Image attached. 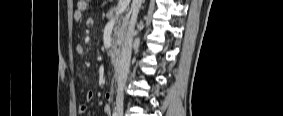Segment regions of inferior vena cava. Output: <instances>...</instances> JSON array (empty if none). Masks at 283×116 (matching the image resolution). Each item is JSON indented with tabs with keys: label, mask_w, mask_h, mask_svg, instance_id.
I'll list each match as a JSON object with an SVG mask.
<instances>
[{
	"label": "inferior vena cava",
	"mask_w": 283,
	"mask_h": 116,
	"mask_svg": "<svg viewBox=\"0 0 283 116\" xmlns=\"http://www.w3.org/2000/svg\"><path fill=\"white\" fill-rule=\"evenodd\" d=\"M142 2L143 0H133L131 5V19L129 21L128 30L123 40L120 61L116 73L117 82H118V89L116 96L117 103H122L124 98L123 89L129 72L134 27Z\"/></svg>",
	"instance_id": "602c4592"
}]
</instances>
